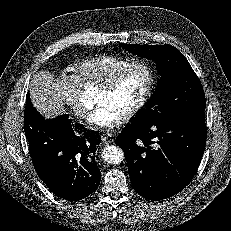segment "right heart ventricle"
<instances>
[{
	"instance_id": "1",
	"label": "right heart ventricle",
	"mask_w": 231,
	"mask_h": 231,
	"mask_svg": "<svg viewBox=\"0 0 231 231\" xmlns=\"http://www.w3.org/2000/svg\"><path fill=\"white\" fill-rule=\"evenodd\" d=\"M129 63L131 60L125 57L100 55L75 63L72 70L81 85L100 86Z\"/></svg>"
}]
</instances>
